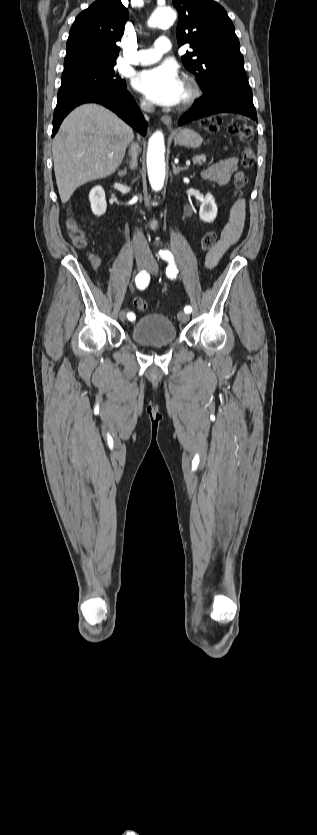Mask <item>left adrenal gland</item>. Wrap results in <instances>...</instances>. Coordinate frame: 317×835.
<instances>
[{
    "mask_svg": "<svg viewBox=\"0 0 317 835\" xmlns=\"http://www.w3.org/2000/svg\"><path fill=\"white\" fill-rule=\"evenodd\" d=\"M172 168H173V174H175V175L179 174L180 171L187 169L186 166L185 167H180V166L176 167L175 163H172Z\"/></svg>",
    "mask_w": 317,
    "mask_h": 835,
    "instance_id": "1",
    "label": "left adrenal gland"
}]
</instances>
